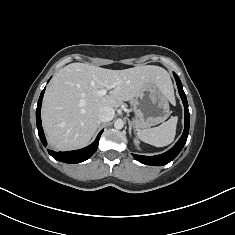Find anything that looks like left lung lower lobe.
<instances>
[{"mask_svg":"<svg viewBox=\"0 0 235 235\" xmlns=\"http://www.w3.org/2000/svg\"><path fill=\"white\" fill-rule=\"evenodd\" d=\"M174 77L177 83L178 91L181 96V99L183 101L184 105V111H185V128L184 132L181 136V138L178 140V142L167 152L157 155V156H142V155H136L132 154L133 157L138 160L139 162L146 164V165H152V166H162L166 165L170 161H172L182 150L183 146L186 143L188 134H189V123H190V115L188 110V103L186 99V95L183 91L182 83L179 79V77L174 73Z\"/></svg>","mask_w":235,"mask_h":235,"instance_id":"1","label":"left lung lower lobe"}]
</instances>
